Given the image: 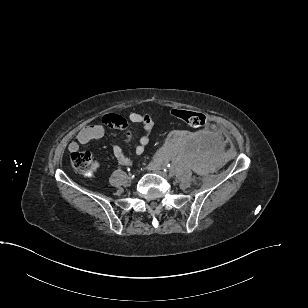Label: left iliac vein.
<instances>
[{
    "instance_id": "4c4485c4",
    "label": "left iliac vein",
    "mask_w": 308,
    "mask_h": 308,
    "mask_svg": "<svg viewBox=\"0 0 308 308\" xmlns=\"http://www.w3.org/2000/svg\"><path fill=\"white\" fill-rule=\"evenodd\" d=\"M148 169L164 178H169V175L162 170L161 166L158 163L154 162L149 164Z\"/></svg>"
}]
</instances>
